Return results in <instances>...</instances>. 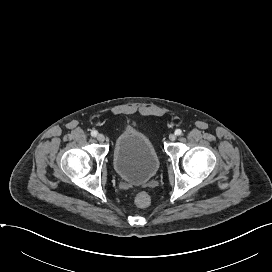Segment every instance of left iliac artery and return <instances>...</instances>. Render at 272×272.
<instances>
[{"mask_svg": "<svg viewBox=\"0 0 272 272\" xmlns=\"http://www.w3.org/2000/svg\"><path fill=\"white\" fill-rule=\"evenodd\" d=\"M175 134L178 135V136L181 135L182 134V130L181 129H176L175 130Z\"/></svg>", "mask_w": 272, "mask_h": 272, "instance_id": "44dca946", "label": "left iliac artery"}]
</instances>
